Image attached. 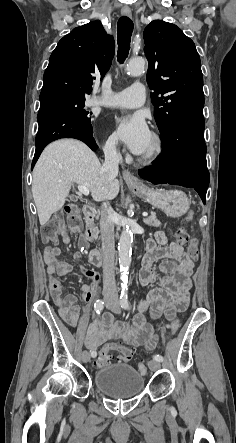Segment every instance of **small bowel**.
Instances as JSON below:
<instances>
[{
    "label": "small bowel",
    "mask_w": 236,
    "mask_h": 443,
    "mask_svg": "<svg viewBox=\"0 0 236 443\" xmlns=\"http://www.w3.org/2000/svg\"><path fill=\"white\" fill-rule=\"evenodd\" d=\"M62 241L69 244L70 238L65 234ZM79 246L81 250L74 254V259L79 264L81 272L93 281L91 285L81 286L84 298L89 299L100 289V276L93 269L82 265V253L86 246L82 236L79 239ZM59 255L58 247H48L44 250L48 287L63 319L75 327L80 311L79 298L75 295H64L63 284L58 278L69 274L72 265L60 260ZM160 258L165 259L160 266L161 271L170 272L172 276L161 278V287L151 291L140 302V313L132 324L122 326L115 322L112 314L108 312L97 317L86 332L85 344L90 350L95 352L107 341H120L132 349L142 345L152 349L156 341L155 328L146 321L144 313L150 309L152 319L157 320L164 314L167 319L172 320L177 312L187 309L194 265L181 245L176 242L167 245V238L161 231L155 234L154 240L147 242L146 254L139 272L140 284L146 286L158 280L153 266Z\"/></svg>",
    "instance_id": "1"
}]
</instances>
